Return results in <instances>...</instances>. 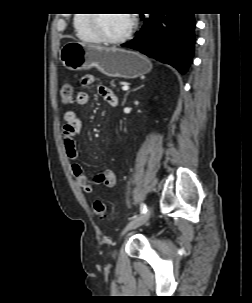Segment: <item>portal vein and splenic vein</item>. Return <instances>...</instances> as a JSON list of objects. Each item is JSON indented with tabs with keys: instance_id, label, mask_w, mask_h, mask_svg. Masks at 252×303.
I'll list each match as a JSON object with an SVG mask.
<instances>
[{
	"instance_id": "18ae733b",
	"label": "portal vein and splenic vein",
	"mask_w": 252,
	"mask_h": 303,
	"mask_svg": "<svg viewBox=\"0 0 252 303\" xmlns=\"http://www.w3.org/2000/svg\"><path fill=\"white\" fill-rule=\"evenodd\" d=\"M128 89H129V87L126 86V85L122 87V90H123V91H127Z\"/></svg>"
}]
</instances>
